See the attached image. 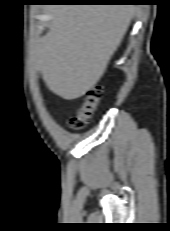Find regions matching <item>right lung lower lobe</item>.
Wrapping results in <instances>:
<instances>
[{"mask_svg": "<svg viewBox=\"0 0 170 231\" xmlns=\"http://www.w3.org/2000/svg\"><path fill=\"white\" fill-rule=\"evenodd\" d=\"M45 1L50 3H56V4H67V3H125V2H133L135 0H45Z\"/></svg>", "mask_w": 170, "mask_h": 231, "instance_id": "obj_1", "label": "right lung lower lobe"}]
</instances>
